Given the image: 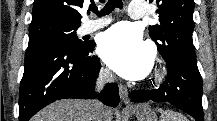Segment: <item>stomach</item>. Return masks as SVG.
<instances>
[{
  "label": "stomach",
  "instance_id": "stomach-1",
  "mask_svg": "<svg viewBox=\"0 0 217 121\" xmlns=\"http://www.w3.org/2000/svg\"><path fill=\"white\" fill-rule=\"evenodd\" d=\"M138 121H158L156 113L147 104H140L132 109Z\"/></svg>",
  "mask_w": 217,
  "mask_h": 121
}]
</instances>
